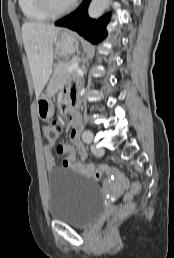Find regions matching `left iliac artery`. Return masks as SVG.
I'll return each instance as SVG.
<instances>
[{
	"instance_id": "1",
	"label": "left iliac artery",
	"mask_w": 174,
	"mask_h": 258,
	"mask_svg": "<svg viewBox=\"0 0 174 258\" xmlns=\"http://www.w3.org/2000/svg\"><path fill=\"white\" fill-rule=\"evenodd\" d=\"M82 139L85 143H91L93 139V134L90 130H86L82 134Z\"/></svg>"
}]
</instances>
